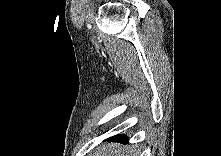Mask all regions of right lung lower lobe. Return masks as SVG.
Masks as SVG:
<instances>
[{"instance_id":"98d812e1","label":"right lung lower lobe","mask_w":221,"mask_h":156,"mask_svg":"<svg viewBox=\"0 0 221 156\" xmlns=\"http://www.w3.org/2000/svg\"><path fill=\"white\" fill-rule=\"evenodd\" d=\"M108 141H117V142H121V143H128V139L124 136H119V135H116V136H113V137H110L107 139Z\"/></svg>"}]
</instances>
